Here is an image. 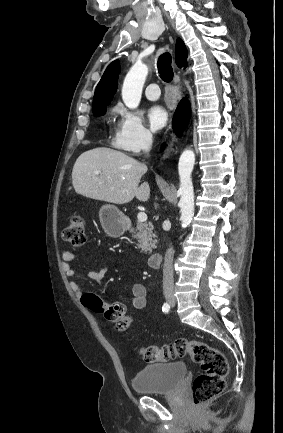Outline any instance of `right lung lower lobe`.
Returning <instances> with one entry per match:
<instances>
[{
    "mask_svg": "<svg viewBox=\"0 0 283 433\" xmlns=\"http://www.w3.org/2000/svg\"><path fill=\"white\" fill-rule=\"evenodd\" d=\"M190 117V105L187 99L180 101L173 118V129L180 134ZM165 144L162 145V148Z\"/></svg>",
    "mask_w": 283,
    "mask_h": 433,
    "instance_id": "right-lung-lower-lobe-1",
    "label": "right lung lower lobe"
}]
</instances>
